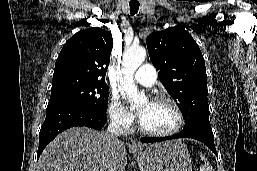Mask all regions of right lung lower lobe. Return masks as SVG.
Returning <instances> with one entry per match:
<instances>
[{
  "label": "right lung lower lobe",
  "mask_w": 257,
  "mask_h": 171,
  "mask_svg": "<svg viewBox=\"0 0 257 171\" xmlns=\"http://www.w3.org/2000/svg\"><path fill=\"white\" fill-rule=\"evenodd\" d=\"M106 122V113L82 103L63 102L48 105L46 118L39 132L37 159L47 144L62 131L74 126H87L99 130Z\"/></svg>",
  "instance_id": "98d812e1"
}]
</instances>
